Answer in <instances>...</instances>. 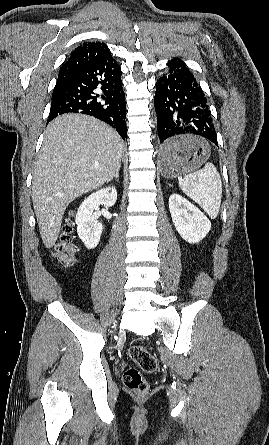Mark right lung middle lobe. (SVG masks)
<instances>
[{"label": "right lung middle lobe", "mask_w": 269, "mask_h": 445, "mask_svg": "<svg viewBox=\"0 0 269 445\" xmlns=\"http://www.w3.org/2000/svg\"><path fill=\"white\" fill-rule=\"evenodd\" d=\"M56 95H57V92H56V90H54L53 94H52V98L55 97Z\"/></svg>", "instance_id": "1"}]
</instances>
